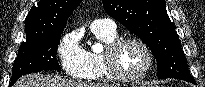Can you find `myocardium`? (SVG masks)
<instances>
[{"mask_svg":"<svg viewBox=\"0 0 205 87\" xmlns=\"http://www.w3.org/2000/svg\"><path fill=\"white\" fill-rule=\"evenodd\" d=\"M128 43L139 45L145 52L147 63L144 69L137 75H126L118 66L117 57L121 48ZM103 54V60L108 71V74L115 80L120 82H138L144 79L153 67V54L149 46L140 38L125 37L116 39L111 44L107 45Z\"/></svg>","mask_w":205,"mask_h":87,"instance_id":"f54148a6","label":"myocardium"}]
</instances>
